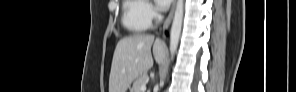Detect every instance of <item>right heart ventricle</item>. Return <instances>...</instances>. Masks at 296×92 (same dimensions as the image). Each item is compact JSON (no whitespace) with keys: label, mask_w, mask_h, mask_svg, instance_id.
I'll return each mask as SVG.
<instances>
[{"label":"right heart ventricle","mask_w":296,"mask_h":92,"mask_svg":"<svg viewBox=\"0 0 296 92\" xmlns=\"http://www.w3.org/2000/svg\"><path fill=\"white\" fill-rule=\"evenodd\" d=\"M143 1L126 0L123 3V26L130 32L140 33L149 27L142 15Z\"/></svg>","instance_id":"right-heart-ventricle-1"}]
</instances>
